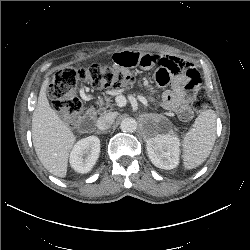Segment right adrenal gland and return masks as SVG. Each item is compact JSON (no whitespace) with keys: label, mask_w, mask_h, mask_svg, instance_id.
<instances>
[{"label":"right adrenal gland","mask_w":250,"mask_h":250,"mask_svg":"<svg viewBox=\"0 0 250 250\" xmlns=\"http://www.w3.org/2000/svg\"><path fill=\"white\" fill-rule=\"evenodd\" d=\"M106 133L105 131L104 132H101V131H97V134H104Z\"/></svg>","instance_id":"1"}]
</instances>
